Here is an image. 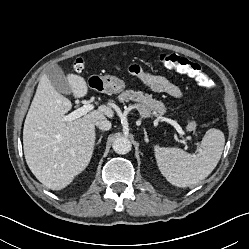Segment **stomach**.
Returning a JSON list of instances; mask_svg holds the SVG:
<instances>
[{"label":"stomach","instance_id":"1","mask_svg":"<svg viewBox=\"0 0 249 249\" xmlns=\"http://www.w3.org/2000/svg\"><path fill=\"white\" fill-rule=\"evenodd\" d=\"M93 82L98 86L96 89L106 94H117L125 89V82L115 76L105 75L92 77Z\"/></svg>","mask_w":249,"mask_h":249}]
</instances>
